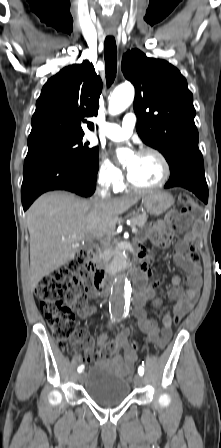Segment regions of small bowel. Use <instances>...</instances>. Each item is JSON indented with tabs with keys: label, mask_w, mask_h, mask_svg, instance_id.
Instances as JSON below:
<instances>
[{
	"label": "small bowel",
	"mask_w": 221,
	"mask_h": 448,
	"mask_svg": "<svg viewBox=\"0 0 221 448\" xmlns=\"http://www.w3.org/2000/svg\"><path fill=\"white\" fill-rule=\"evenodd\" d=\"M182 223L181 214L170 211L164 220L156 221L152 225L150 241L158 248L164 249L171 245L174 233L180 229ZM196 235L195 231L188 233L174 244L176 265L187 274L188 288L184 290L180 285L182 277L175 275L172 277V287L168 289L167 295L175 300L173 309L174 317L182 319L194 306L202 287L201 268L198 264H193L186 257L185 252L189 244ZM146 256V253H143ZM141 273L142 285L137 286L133 298L134 315L138 319V326L147 335V341L158 348H164L172 336V324L174 321L171 312H165L162 318L163 327L159 329L156 321L150 318L146 312V305L150 302L155 308H160L162 301L156 296L155 286L144 283L151 274L149 264L142 265ZM88 296L95 294L88 287L86 294H81L79 287H75L67 296L68 305L73 308L77 315L86 319L97 312V308L87 303ZM129 329L122 330L114 340H108L105 333H102L97 348H90L88 355L91 361L107 363L112 369L121 375L129 374L138 359L139 348L128 339ZM119 351H123L120 355Z\"/></svg>",
	"instance_id": "c3829d8e"
}]
</instances>
